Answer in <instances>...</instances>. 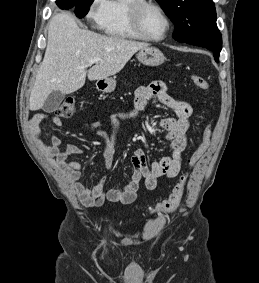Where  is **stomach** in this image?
<instances>
[{
	"mask_svg": "<svg viewBox=\"0 0 259 283\" xmlns=\"http://www.w3.org/2000/svg\"><path fill=\"white\" fill-rule=\"evenodd\" d=\"M137 59L140 63L147 66H158L165 61L163 53L156 47H145L140 49L137 54ZM96 88L99 91L111 93L116 88V81L113 78L98 80Z\"/></svg>",
	"mask_w": 259,
	"mask_h": 283,
	"instance_id": "1",
	"label": "stomach"
}]
</instances>
